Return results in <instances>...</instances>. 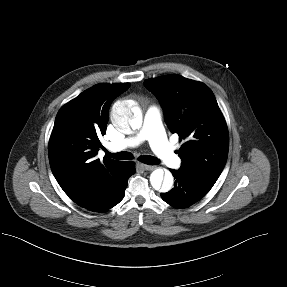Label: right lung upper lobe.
<instances>
[{
  "label": "right lung upper lobe",
  "mask_w": 287,
  "mask_h": 287,
  "mask_svg": "<svg viewBox=\"0 0 287 287\" xmlns=\"http://www.w3.org/2000/svg\"><path fill=\"white\" fill-rule=\"evenodd\" d=\"M129 83L97 84L61 107L49 140V161L57 182L79 206L91 202L119 175L125 162L96 158L106 134L112 101Z\"/></svg>",
  "instance_id": "obj_1"
}]
</instances>
